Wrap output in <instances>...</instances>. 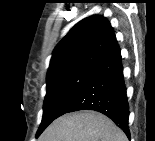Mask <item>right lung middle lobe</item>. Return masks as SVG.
Segmentation results:
<instances>
[{"mask_svg": "<svg viewBox=\"0 0 155 141\" xmlns=\"http://www.w3.org/2000/svg\"><path fill=\"white\" fill-rule=\"evenodd\" d=\"M95 69L75 68L47 78V92L43 105V118L36 137L60 115L63 106L91 76Z\"/></svg>", "mask_w": 155, "mask_h": 141, "instance_id": "1", "label": "right lung middle lobe"}]
</instances>
